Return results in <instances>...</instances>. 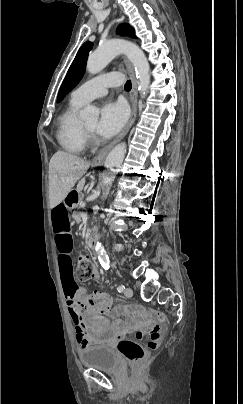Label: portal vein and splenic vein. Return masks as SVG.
I'll return each instance as SVG.
<instances>
[{
    "mask_svg": "<svg viewBox=\"0 0 243 404\" xmlns=\"http://www.w3.org/2000/svg\"><path fill=\"white\" fill-rule=\"evenodd\" d=\"M80 215H81V216H87V215H88V212H87V211H81V212H80Z\"/></svg>",
    "mask_w": 243,
    "mask_h": 404,
    "instance_id": "portal-vein-and-splenic-vein-1",
    "label": "portal vein and splenic vein"
}]
</instances>
